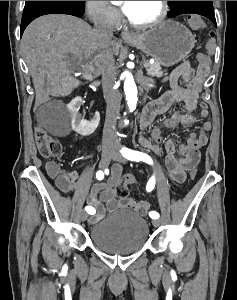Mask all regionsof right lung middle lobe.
<instances>
[{"mask_svg":"<svg viewBox=\"0 0 237 300\" xmlns=\"http://www.w3.org/2000/svg\"><path fill=\"white\" fill-rule=\"evenodd\" d=\"M84 1H25L22 18L37 13L40 10L57 6L83 5Z\"/></svg>","mask_w":237,"mask_h":300,"instance_id":"obj_1","label":"right lung middle lobe"}]
</instances>
